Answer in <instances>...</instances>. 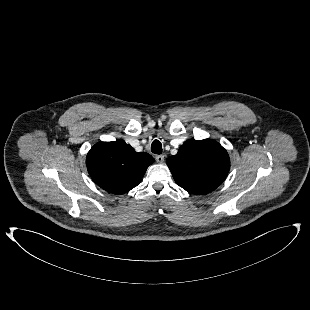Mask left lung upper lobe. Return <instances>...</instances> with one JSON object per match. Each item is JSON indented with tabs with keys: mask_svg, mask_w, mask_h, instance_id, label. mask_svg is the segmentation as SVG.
<instances>
[{
	"mask_svg": "<svg viewBox=\"0 0 310 310\" xmlns=\"http://www.w3.org/2000/svg\"><path fill=\"white\" fill-rule=\"evenodd\" d=\"M166 163L177 185L197 195L215 190L225 180L230 168L227 151L210 139L185 141Z\"/></svg>",
	"mask_w": 310,
	"mask_h": 310,
	"instance_id": "1",
	"label": "left lung upper lobe"
}]
</instances>
